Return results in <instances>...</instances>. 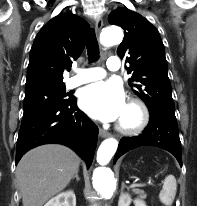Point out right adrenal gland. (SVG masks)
Masks as SVG:
<instances>
[{"instance_id":"2a0ac1e0","label":"right adrenal gland","mask_w":197,"mask_h":206,"mask_svg":"<svg viewBox=\"0 0 197 206\" xmlns=\"http://www.w3.org/2000/svg\"><path fill=\"white\" fill-rule=\"evenodd\" d=\"M73 179H76V181H80V178L78 176V171L75 173Z\"/></svg>"}]
</instances>
